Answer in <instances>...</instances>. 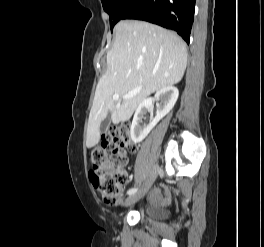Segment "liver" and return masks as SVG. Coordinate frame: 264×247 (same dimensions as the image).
<instances>
[{"label":"liver","mask_w":264,"mask_h":247,"mask_svg":"<svg viewBox=\"0 0 264 247\" xmlns=\"http://www.w3.org/2000/svg\"><path fill=\"white\" fill-rule=\"evenodd\" d=\"M107 70L100 78L89 115L86 146L100 140V123L111 113L114 124L127 121L152 93L177 84L187 65L185 43L175 33L143 21L124 20L114 28ZM137 91L129 99L123 96ZM119 94V100L113 95Z\"/></svg>","instance_id":"liver-1"}]
</instances>
